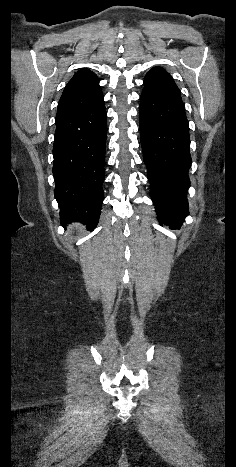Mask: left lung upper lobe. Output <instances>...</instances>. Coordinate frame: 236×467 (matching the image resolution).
<instances>
[{"label": "left lung upper lobe", "mask_w": 236, "mask_h": 467, "mask_svg": "<svg viewBox=\"0 0 236 467\" xmlns=\"http://www.w3.org/2000/svg\"><path fill=\"white\" fill-rule=\"evenodd\" d=\"M144 86V89L156 94L181 95L171 75L160 67L153 68L146 74Z\"/></svg>", "instance_id": "5c2ea615"}]
</instances>
